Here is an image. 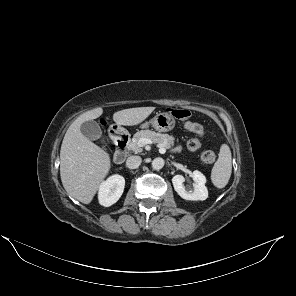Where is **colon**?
<instances>
[{
	"label": "colon",
	"mask_w": 296,
	"mask_h": 296,
	"mask_svg": "<svg viewBox=\"0 0 296 296\" xmlns=\"http://www.w3.org/2000/svg\"><path fill=\"white\" fill-rule=\"evenodd\" d=\"M167 111L174 117L182 120L185 129L196 135V137L188 140L187 147L192 151L198 150L201 147V137L204 135V128L200 124L190 120L191 113L189 110L170 108ZM215 159L216 155L211 150H207L201 154V161L206 164L213 163Z\"/></svg>",
	"instance_id": "1"
}]
</instances>
